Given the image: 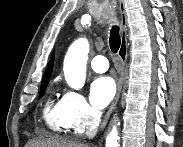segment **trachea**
<instances>
[{"label": "trachea", "instance_id": "obj_1", "mask_svg": "<svg viewBox=\"0 0 183 147\" xmlns=\"http://www.w3.org/2000/svg\"><path fill=\"white\" fill-rule=\"evenodd\" d=\"M109 44L111 51L117 53L121 45L119 27L117 25H113L110 30Z\"/></svg>", "mask_w": 183, "mask_h": 147}]
</instances>
